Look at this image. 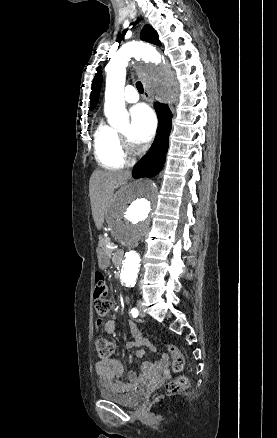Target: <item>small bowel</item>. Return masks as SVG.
<instances>
[{
    "label": "small bowel",
    "mask_w": 277,
    "mask_h": 438,
    "mask_svg": "<svg viewBox=\"0 0 277 438\" xmlns=\"http://www.w3.org/2000/svg\"><path fill=\"white\" fill-rule=\"evenodd\" d=\"M104 330L108 334H114L116 332V322L114 320H107L104 323ZM131 332L134 341L127 344L128 349L138 350V355L141 354L140 349L143 347L152 349L151 345L142 337L134 325L131 326ZM169 365V356L163 353L155 364L149 362L142 363L140 366V374L135 371L125 373L121 362L114 359L98 361L95 364V372L101 387L117 392H125L139 382L140 375H147L151 372L168 374Z\"/></svg>",
    "instance_id": "small-bowel-1"
}]
</instances>
